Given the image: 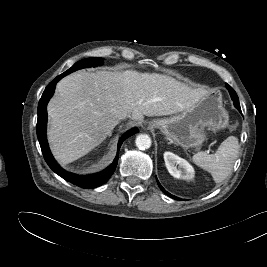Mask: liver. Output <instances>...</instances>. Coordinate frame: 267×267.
I'll list each match as a JSON object with an SVG mask.
<instances>
[{"label": "liver", "instance_id": "6515ba94", "mask_svg": "<svg viewBox=\"0 0 267 267\" xmlns=\"http://www.w3.org/2000/svg\"><path fill=\"white\" fill-rule=\"evenodd\" d=\"M207 94L157 73L78 71L63 78L48 103L47 132L55 158L71 163L101 144L120 115L142 121L193 108Z\"/></svg>", "mask_w": 267, "mask_h": 267}]
</instances>
